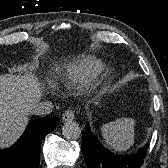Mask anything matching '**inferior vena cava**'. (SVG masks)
I'll use <instances>...</instances> for the list:
<instances>
[{
  "label": "inferior vena cava",
  "instance_id": "602c4592",
  "mask_svg": "<svg viewBox=\"0 0 168 168\" xmlns=\"http://www.w3.org/2000/svg\"><path fill=\"white\" fill-rule=\"evenodd\" d=\"M52 110H53L52 102L45 101L34 105L31 109V113L35 115H46L51 113Z\"/></svg>",
  "mask_w": 168,
  "mask_h": 168
}]
</instances>
